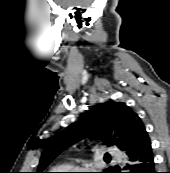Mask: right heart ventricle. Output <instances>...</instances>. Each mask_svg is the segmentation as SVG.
I'll use <instances>...</instances> for the list:
<instances>
[{"mask_svg": "<svg viewBox=\"0 0 170 173\" xmlns=\"http://www.w3.org/2000/svg\"><path fill=\"white\" fill-rule=\"evenodd\" d=\"M71 168L69 164H64L63 166L59 167L60 171H68Z\"/></svg>", "mask_w": 170, "mask_h": 173, "instance_id": "obj_1", "label": "right heart ventricle"}]
</instances>
